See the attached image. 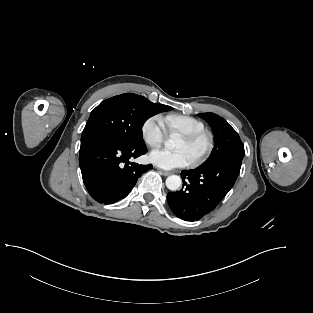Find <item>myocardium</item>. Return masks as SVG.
I'll list each match as a JSON object with an SVG mask.
<instances>
[{
    "mask_svg": "<svg viewBox=\"0 0 313 313\" xmlns=\"http://www.w3.org/2000/svg\"><path fill=\"white\" fill-rule=\"evenodd\" d=\"M181 138L189 144H194L200 140H205L206 142L204 150L191 161V165L193 166L202 164L214 149V137L212 133L207 130L181 135Z\"/></svg>",
    "mask_w": 313,
    "mask_h": 313,
    "instance_id": "obj_1",
    "label": "myocardium"
}]
</instances>
